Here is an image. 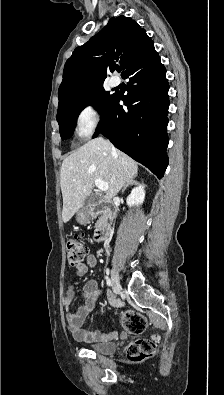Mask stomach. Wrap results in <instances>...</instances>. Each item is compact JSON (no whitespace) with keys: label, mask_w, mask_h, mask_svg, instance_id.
Returning <instances> with one entry per match:
<instances>
[{"label":"stomach","mask_w":224,"mask_h":395,"mask_svg":"<svg viewBox=\"0 0 224 395\" xmlns=\"http://www.w3.org/2000/svg\"><path fill=\"white\" fill-rule=\"evenodd\" d=\"M88 215L85 212L80 211L77 216H76V220L80 223V224H85L88 221Z\"/></svg>","instance_id":"1"}]
</instances>
